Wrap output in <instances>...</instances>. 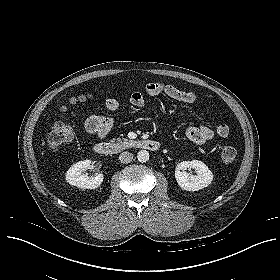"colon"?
<instances>
[{"label": "colon", "instance_id": "5ec220e1", "mask_svg": "<svg viewBox=\"0 0 280 280\" xmlns=\"http://www.w3.org/2000/svg\"><path fill=\"white\" fill-rule=\"evenodd\" d=\"M88 95H79L70 100L71 104L82 103L88 99ZM66 107H63L62 112H65ZM90 130L96 132L94 125L90 126ZM72 128L64 121L56 122L52 125L48 136V147L57 149L73 138ZM237 150L233 145H225L221 151V158L224 162L230 163L236 159Z\"/></svg>", "mask_w": 280, "mask_h": 280}]
</instances>
